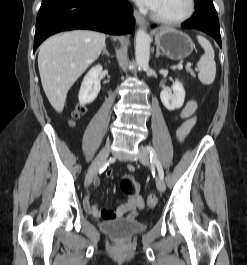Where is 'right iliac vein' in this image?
Returning a JSON list of instances; mask_svg holds the SVG:
<instances>
[{
	"mask_svg": "<svg viewBox=\"0 0 247 265\" xmlns=\"http://www.w3.org/2000/svg\"><path fill=\"white\" fill-rule=\"evenodd\" d=\"M109 152H110V144L107 143L105 147L97 155V157L94 159L88 170V174L85 181L86 186H90L94 177L97 174V171L100 169V167L105 163L106 159L108 158Z\"/></svg>",
	"mask_w": 247,
	"mask_h": 265,
	"instance_id": "obj_1",
	"label": "right iliac vein"
}]
</instances>
